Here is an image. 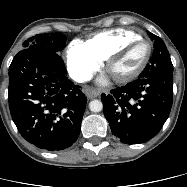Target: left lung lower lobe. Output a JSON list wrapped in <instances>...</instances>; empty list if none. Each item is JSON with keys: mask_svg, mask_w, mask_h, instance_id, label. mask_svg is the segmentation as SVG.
<instances>
[{"mask_svg": "<svg viewBox=\"0 0 187 187\" xmlns=\"http://www.w3.org/2000/svg\"><path fill=\"white\" fill-rule=\"evenodd\" d=\"M112 134L125 144L152 139L166 122L173 102V73L138 78L101 95Z\"/></svg>", "mask_w": 187, "mask_h": 187, "instance_id": "1", "label": "left lung lower lobe"}]
</instances>
